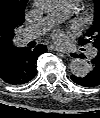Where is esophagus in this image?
<instances>
[{"label":"esophagus","instance_id":"1","mask_svg":"<svg viewBox=\"0 0 100 118\" xmlns=\"http://www.w3.org/2000/svg\"><path fill=\"white\" fill-rule=\"evenodd\" d=\"M49 48L54 50V51H57V52L65 53L64 49L57 47V46H50Z\"/></svg>","mask_w":100,"mask_h":118}]
</instances>
